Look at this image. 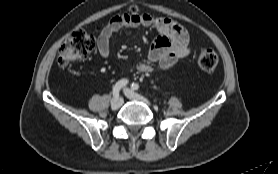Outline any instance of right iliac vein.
<instances>
[{
	"label": "right iliac vein",
	"instance_id": "1",
	"mask_svg": "<svg viewBox=\"0 0 278 174\" xmlns=\"http://www.w3.org/2000/svg\"><path fill=\"white\" fill-rule=\"evenodd\" d=\"M122 104H123V98H121L120 96L114 97L111 100V107L114 109L120 108L122 106Z\"/></svg>",
	"mask_w": 278,
	"mask_h": 174
}]
</instances>
